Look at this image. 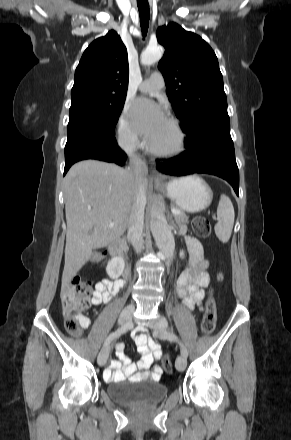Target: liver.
<instances>
[{
	"mask_svg": "<svg viewBox=\"0 0 291 440\" xmlns=\"http://www.w3.org/2000/svg\"><path fill=\"white\" fill-rule=\"evenodd\" d=\"M143 184L146 193L151 188L146 177ZM136 190V177L129 169L97 160L80 161L70 168L64 180L67 231L62 285L71 281L94 249L124 234Z\"/></svg>",
	"mask_w": 291,
	"mask_h": 440,
	"instance_id": "liver-1",
	"label": "liver"
}]
</instances>
